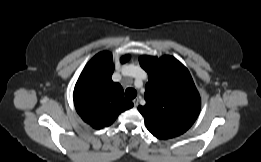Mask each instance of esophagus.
Returning <instances> with one entry per match:
<instances>
[{"label":"esophagus","mask_w":261,"mask_h":162,"mask_svg":"<svg viewBox=\"0 0 261 162\" xmlns=\"http://www.w3.org/2000/svg\"><path fill=\"white\" fill-rule=\"evenodd\" d=\"M133 104H134L135 107L138 106V104H139V98H138V97H136V98L133 100Z\"/></svg>","instance_id":"1"}]
</instances>
